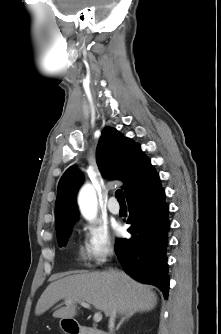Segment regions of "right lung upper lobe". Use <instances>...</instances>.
I'll return each instance as SVG.
<instances>
[{
	"mask_svg": "<svg viewBox=\"0 0 221 334\" xmlns=\"http://www.w3.org/2000/svg\"><path fill=\"white\" fill-rule=\"evenodd\" d=\"M96 159L105 178L124 182L122 188L126 198L157 174L140 146L112 127L103 129ZM82 180L81 172L75 168L67 169L61 177L56 199V232L74 224L77 217L75 197Z\"/></svg>",
	"mask_w": 221,
	"mask_h": 334,
	"instance_id": "cb5924a9",
	"label": "right lung upper lobe"
}]
</instances>
